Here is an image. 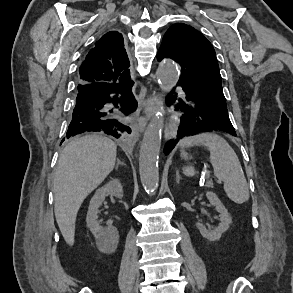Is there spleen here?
Returning a JSON list of instances; mask_svg holds the SVG:
<instances>
[{
  "label": "spleen",
  "instance_id": "obj_1",
  "mask_svg": "<svg viewBox=\"0 0 293 293\" xmlns=\"http://www.w3.org/2000/svg\"><path fill=\"white\" fill-rule=\"evenodd\" d=\"M204 146L210 152V162L215 176L224 182V190L229 199L242 204L249 199V189L238 156L228 142L215 133H201L185 137L180 141L182 149ZM183 173L194 176L191 166L183 167Z\"/></svg>",
  "mask_w": 293,
  "mask_h": 293
}]
</instances>
